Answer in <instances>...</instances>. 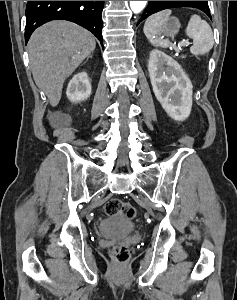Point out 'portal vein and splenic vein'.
I'll use <instances>...</instances> for the list:
<instances>
[{
  "label": "portal vein and splenic vein",
  "mask_w": 237,
  "mask_h": 300,
  "mask_svg": "<svg viewBox=\"0 0 237 300\" xmlns=\"http://www.w3.org/2000/svg\"><path fill=\"white\" fill-rule=\"evenodd\" d=\"M180 45H191V43H189V41H182V43H180Z\"/></svg>",
  "instance_id": "18ae733b"
}]
</instances>
